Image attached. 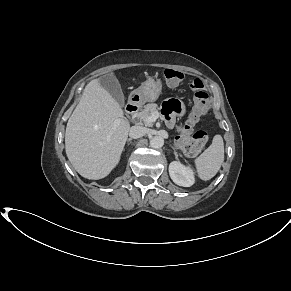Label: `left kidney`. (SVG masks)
I'll return each instance as SVG.
<instances>
[{"label":"left kidney","mask_w":291,"mask_h":291,"mask_svg":"<svg viewBox=\"0 0 291 291\" xmlns=\"http://www.w3.org/2000/svg\"><path fill=\"white\" fill-rule=\"evenodd\" d=\"M169 174L173 182L179 186L190 187L195 182L192 168L184 166L179 161H173L170 163Z\"/></svg>","instance_id":"1"}]
</instances>
